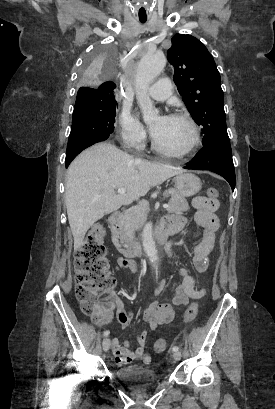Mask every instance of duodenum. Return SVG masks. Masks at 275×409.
<instances>
[{
	"label": "duodenum",
	"mask_w": 275,
	"mask_h": 409,
	"mask_svg": "<svg viewBox=\"0 0 275 409\" xmlns=\"http://www.w3.org/2000/svg\"><path fill=\"white\" fill-rule=\"evenodd\" d=\"M121 220L122 214L120 212H114L109 217L112 240L120 253L128 259H132L140 255L141 248L124 230ZM176 231L175 225L162 222L155 230V238L159 244H164L168 236Z\"/></svg>",
	"instance_id": "1"
}]
</instances>
